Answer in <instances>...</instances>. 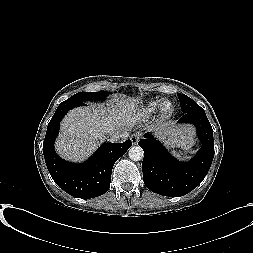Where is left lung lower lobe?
<instances>
[{
	"label": "left lung lower lobe",
	"instance_id": "obj_1",
	"mask_svg": "<svg viewBox=\"0 0 253 253\" xmlns=\"http://www.w3.org/2000/svg\"><path fill=\"white\" fill-rule=\"evenodd\" d=\"M179 122L194 124L202 142L201 149L190 162L175 160L149 133L138 142L144 150V184L152 192L163 196H183L196 188L208 173L214 157L213 129L205 111L184 113Z\"/></svg>",
	"mask_w": 253,
	"mask_h": 253
}]
</instances>
